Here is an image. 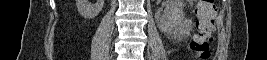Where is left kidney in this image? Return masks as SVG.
I'll return each instance as SVG.
<instances>
[{
	"mask_svg": "<svg viewBox=\"0 0 267 60\" xmlns=\"http://www.w3.org/2000/svg\"><path fill=\"white\" fill-rule=\"evenodd\" d=\"M164 6L163 11L158 10L155 13V19L159 29L169 32L184 18L183 5L177 0H166Z\"/></svg>",
	"mask_w": 267,
	"mask_h": 60,
	"instance_id": "left-kidney-1",
	"label": "left kidney"
}]
</instances>
